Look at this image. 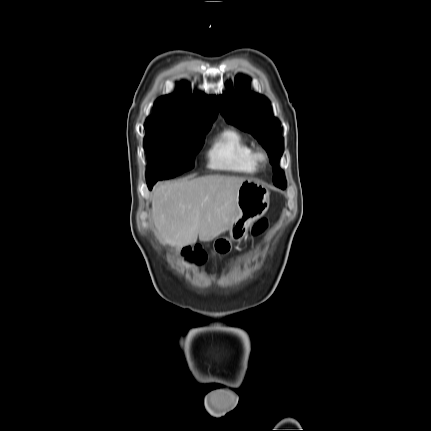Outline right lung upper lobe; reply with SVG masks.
I'll return each mask as SVG.
<instances>
[{
	"label": "right lung upper lobe",
	"mask_w": 431,
	"mask_h": 431,
	"mask_svg": "<svg viewBox=\"0 0 431 431\" xmlns=\"http://www.w3.org/2000/svg\"><path fill=\"white\" fill-rule=\"evenodd\" d=\"M218 106L215 96L202 92L183 91L160 97L154 104L147 123H163L187 128L212 126L217 118Z\"/></svg>",
	"instance_id": "1"
}]
</instances>
